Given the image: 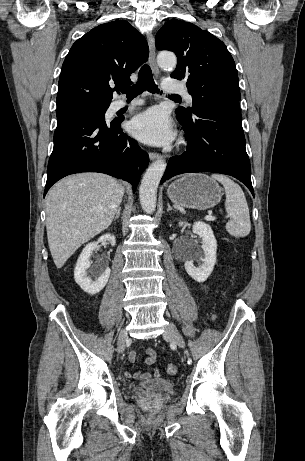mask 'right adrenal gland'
I'll list each match as a JSON object with an SVG mask.
<instances>
[{"mask_svg":"<svg viewBox=\"0 0 305 461\" xmlns=\"http://www.w3.org/2000/svg\"><path fill=\"white\" fill-rule=\"evenodd\" d=\"M120 214H121V207L118 206V208H117V210H116V214H115V216H114V218H113V221H114V222H115L117 219L120 218Z\"/></svg>","mask_w":305,"mask_h":461,"instance_id":"1","label":"right adrenal gland"}]
</instances>
